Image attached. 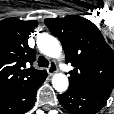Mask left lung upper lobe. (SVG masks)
<instances>
[{
    "label": "left lung upper lobe",
    "instance_id": "obj_1",
    "mask_svg": "<svg viewBox=\"0 0 114 114\" xmlns=\"http://www.w3.org/2000/svg\"><path fill=\"white\" fill-rule=\"evenodd\" d=\"M44 22L59 38L66 63L74 67L69 72V85L110 95L114 87V52L100 30L76 15Z\"/></svg>",
    "mask_w": 114,
    "mask_h": 114
}]
</instances>
